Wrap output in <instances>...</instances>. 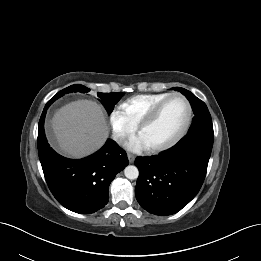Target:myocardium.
<instances>
[{"label":"myocardium","mask_w":261,"mask_h":261,"mask_svg":"<svg viewBox=\"0 0 261 261\" xmlns=\"http://www.w3.org/2000/svg\"><path fill=\"white\" fill-rule=\"evenodd\" d=\"M173 98H179L185 104L186 111H187L185 123H184L183 127L181 128V130L178 132V134L174 138H172L170 141L160 144V145L147 146L146 147L147 150H149L151 152H160V151H164V150L170 149L171 147L175 146L178 142H180L184 138V136L187 134V132L191 126L192 115H193L192 106H191L189 100L183 94L175 92V93H171L168 96H166L164 99H162L160 102H158L149 111V113L137 125V133L140 134V132L144 128H146L147 126L152 124L155 121V119L157 118V116L159 115V113L162 110V108L164 107V105Z\"/></svg>","instance_id":"obj_1"}]
</instances>
